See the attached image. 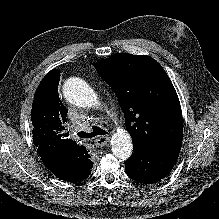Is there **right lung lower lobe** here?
I'll return each instance as SVG.
<instances>
[{"label":"right lung lower lobe","instance_id":"98d812e1","mask_svg":"<svg viewBox=\"0 0 219 219\" xmlns=\"http://www.w3.org/2000/svg\"><path fill=\"white\" fill-rule=\"evenodd\" d=\"M73 158H74V157H73ZM90 173H91V169H88V172L85 173V175H84V177H83L82 180L86 179V178L90 175Z\"/></svg>","mask_w":219,"mask_h":219}]
</instances>
